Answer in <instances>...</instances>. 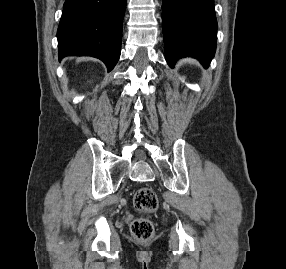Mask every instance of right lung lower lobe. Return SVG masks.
Wrapping results in <instances>:
<instances>
[{"instance_id":"right-lung-lower-lobe-1","label":"right lung lower lobe","mask_w":286,"mask_h":269,"mask_svg":"<svg viewBox=\"0 0 286 269\" xmlns=\"http://www.w3.org/2000/svg\"><path fill=\"white\" fill-rule=\"evenodd\" d=\"M126 0H66L57 38L59 58L93 56L108 71L119 60Z\"/></svg>"}]
</instances>
